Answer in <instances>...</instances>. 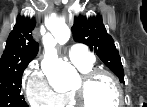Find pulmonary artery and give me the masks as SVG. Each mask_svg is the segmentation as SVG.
I'll list each match as a JSON object with an SVG mask.
<instances>
[{
    "label": "pulmonary artery",
    "instance_id": "e3ab8cb5",
    "mask_svg": "<svg viewBox=\"0 0 147 107\" xmlns=\"http://www.w3.org/2000/svg\"><path fill=\"white\" fill-rule=\"evenodd\" d=\"M68 56L76 66L89 65L94 62L92 54L83 45H72L68 50Z\"/></svg>",
    "mask_w": 147,
    "mask_h": 107
}]
</instances>
